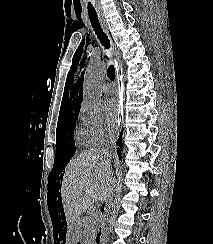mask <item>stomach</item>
Wrapping results in <instances>:
<instances>
[{"label": "stomach", "instance_id": "stomach-1", "mask_svg": "<svg viewBox=\"0 0 213 244\" xmlns=\"http://www.w3.org/2000/svg\"><path fill=\"white\" fill-rule=\"evenodd\" d=\"M68 239H64V244H79L81 239L80 221H69L66 227Z\"/></svg>", "mask_w": 213, "mask_h": 244}]
</instances>
